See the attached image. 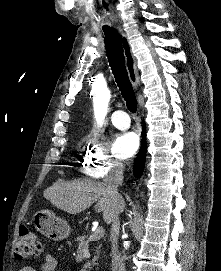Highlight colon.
Segmentation results:
<instances>
[{"mask_svg": "<svg viewBox=\"0 0 221 271\" xmlns=\"http://www.w3.org/2000/svg\"><path fill=\"white\" fill-rule=\"evenodd\" d=\"M41 253V242L35 232L26 225H22L19 237L16 242L14 256L17 260L23 261L39 256Z\"/></svg>", "mask_w": 221, "mask_h": 271, "instance_id": "obj_1", "label": "colon"}]
</instances>
